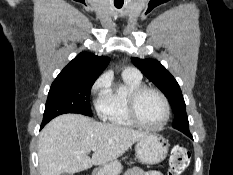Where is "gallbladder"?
<instances>
[{"label": "gallbladder", "instance_id": "1", "mask_svg": "<svg viewBox=\"0 0 233 175\" xmlns=\"http://www.w3.org/2000/svg\"><path fill=\"white\" fill-rule=\"evenodd\" d=\"M62 175H70V174H66V173H64V174H62Z\"/></svg>", "mask_w": 233, "mask_h": 175}]
</instances>
